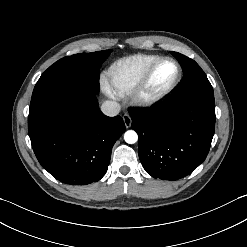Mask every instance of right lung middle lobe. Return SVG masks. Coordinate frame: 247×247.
<instances>
[{"label":"right lung middle lobe","mask_w":247,"mask_h":247,"mask_svg":"<svg viewBox=\"0 0 247 247\" xmlns=\"http://www.w3.org/2000/svg\"><path fill=\"white\" fill-rule=\"evenodd\" d=\"M111 50L80 53L64 57L50 66L33 90L30 110L39 107L52 96L63 91L85 89L100 91L99 69Z\"/></svg>","instance_id":"1"}]
</instances>
